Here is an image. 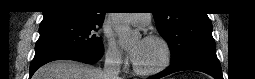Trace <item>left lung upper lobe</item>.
<instances>
[{"label": "left lung upper lobe", "mask_w": 255, "mask_h": 79, "mask_svg": "<svg viewBox=\"0 0 255 79\" xmlns=\"http://www.w3.org/2000/svg\"><path fill=\"white\" fill-rule=\"evenodd\" d=\"M153 16L159 33L168 42L171 49V64L177 63L199 50L215 49L212 24L207 14L159 9L153 12Z\"/></svg>", "instance_id": "1"}]
</instances>
